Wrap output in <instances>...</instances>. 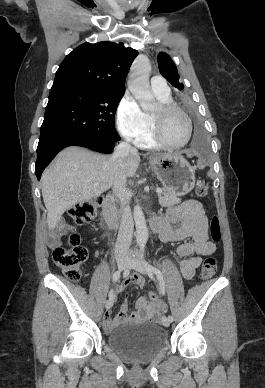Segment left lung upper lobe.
<instances>
[{"label":"left lung upper lobe","instance_id":"obj_1","mask_svg":"<svg viewBox=\"0 0 265 388\" xmlns=\"http://www.w3.org/2000/svg\"><path fill=\"white\" fill-rule=\"evenodd\" d=\"M160 73L171 83L172 86L182 90L184 85L179 82V74L176 65L170 56L164 52H160L157 57Z\"/></svg>","mask_w":265,"mask_h":388}]
</instances>
